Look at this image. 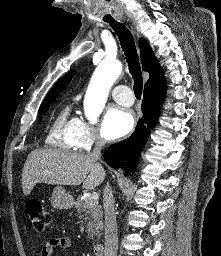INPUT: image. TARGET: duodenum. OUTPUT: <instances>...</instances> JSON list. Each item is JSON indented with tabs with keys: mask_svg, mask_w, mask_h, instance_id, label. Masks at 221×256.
<instances>
[{
	"mask_svg": "<svg viewBox=\"0 0 221 256\" xmlns=\"http://www.w3.org/2000/svg\"><path fill=\"white\" fill-rule=\"evenodd\" d=\"M93 252L95 256H103L104 254V246L102 243H96L93 246Z\"/></svg>",
	"mask_w": 221,
	"mask_h": 256,
	"instance_id": "duodenum-1",
	"label": "duodenum"
}]
</instances>
